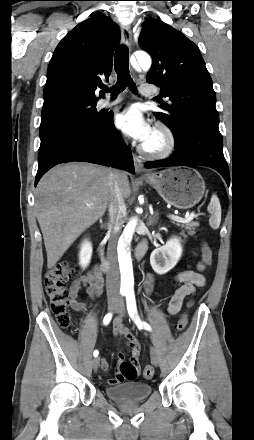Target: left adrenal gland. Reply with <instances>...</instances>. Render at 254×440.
Returning <instances> with one entry per match:
<instances>
[{
    "label": "left adrenal gland",
    "instance_id": "left-adrenal-gland-1",
    "mask_svg": "<svg viewBox=\"0 0 254 440\" xmlns=\"http://www.w3.org/2000/svg\"><path fill=\"white\" fill-rule=\"evenodd\" d=\"M157 214L155 213L154 215H149L148 217V221H147V225L151 226L154 225L157 222Z\"/></svg>",
    "mask_w": 254,
    "mask_h": 440
}]
</instances>
